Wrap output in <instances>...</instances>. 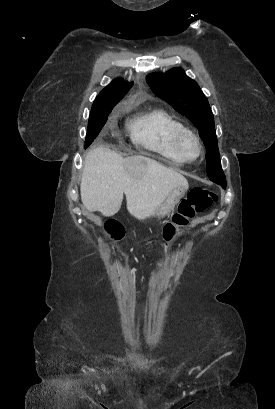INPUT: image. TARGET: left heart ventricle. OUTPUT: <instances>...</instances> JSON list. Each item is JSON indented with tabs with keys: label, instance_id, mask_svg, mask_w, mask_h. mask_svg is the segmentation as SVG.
Masks as SVG:
<instances>
[{
	"label": "left heart ventricle",
	"instance_id": "obj_1",
	"mask_svg": "<svg viewBox=\"0 0 275 409\" xmlns=\"http://www.w3.org/2000/svg\"><path fill=\"white\" fill-rule=\"evenodd\" d=\"M178 151L182 157H193L196 154V147L191 139L185 138L181 141Z\"/></svg>",
	"mask_w": 275,
	"mask_h": 409
}]
</instances>
